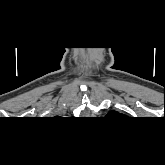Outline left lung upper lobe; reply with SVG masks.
I'll return each mask as SVG.
<instances>
[{
    "label": "left lung upper lobe",
    "mask_w": 165,
    "mask_h": 165,
    "mask_svg": "<svg viewBox=\"0 0 165 165\" xmlns=\"http://www.w3.org/2000/svg\"><path fill=\"white\" fill-rule=\"evenodd\" d=\"M110 115H113V116L117 115V116H119V113H116L115 111H111Z\"/></svg>",
    "instance_id": "left-lung-upper-lobe-1"
}]
</instances>
